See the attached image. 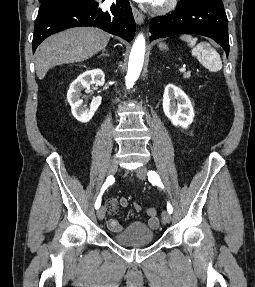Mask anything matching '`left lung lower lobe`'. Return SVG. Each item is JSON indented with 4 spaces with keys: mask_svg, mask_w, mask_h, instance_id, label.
<instances>
[{
    "mask_svg": "<svg viewBox=\"0 0 255 287\" xmlns=\"http://www.w3.org/2000/svg\"><path fill=\"white\" fill-rule=\"evenodd\" d=\"M150 40L176 34L210 37L229 54L228 22L222 0H180L170 15L150 21Z\"/></svg>",
    "mask_w": 255,
    "mask_h": 287,
    "instance_id": "1",
    "label": "left lung lower lobe"
}]
</instances>
